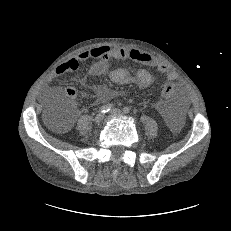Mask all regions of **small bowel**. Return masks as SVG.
Returning <instances> with one entry per match:
<instances>
[{
    "label": "small bowel",
    "mask_w": 231,
    "mask_h": 231,
    "mask_svg": "<svg viewBox=\"0 0 231 231\" xmlns=\"http://www.w3.org/2000/svg\"><path fill=\"white\" fill-rule=\"evenodd\" d=\"M89 59H96L97 61L89 68L88 77H98L101 75H107V77L113 83L117 85H134L137 87H147L153 81V76L146 69H130V68H112L110 61L112 59L122 60L128 59L134 62L155 67L159 72L166 73L168 80L175 81L177 76L169 71V66L158 60L156 57L146 52L138 50H124L112 46H100L89 50L82 51L75 58H70L60 63L53 71L51 77L48 79L50 82L53 78L60 76L66 72L76 71L79 64ZM80 84L85 85L87 83L86 78H79L77 80ZM74 89L68 87L65 89ZM75 90V89H74ZM64 91V92H65ZM76 92V90H75ZM76 95V94H75ZM116 96V92L108 88H101L97 93V101L105 102L113 99ZM75 97V96H74ZM157 109L161 112L164 118L170 123L172 127H176L178 123V113L173 103L167 104L165 102H159ZM73 122V118L70 117L67 121V126Z\"/></svg>",
    "instance_id": "1"
}]
</instances>
